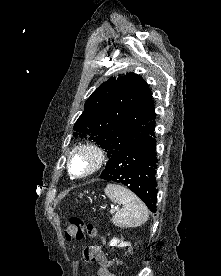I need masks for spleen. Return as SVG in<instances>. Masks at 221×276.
I'll return each mask as SVG.
<instances>
[{
    "mask_svg": "<svg viewBox=\"0 0 221 276\" xmlns=\"http://www.w3.org/2000/svg\"><path fill=\"white\" fill-rule=\"evenodd\" d=\"M104 192L110 200L123 206L111 219L115 226L138 227L148 220L149 211L146 205L129 189L116 184H108Z\"/></svg>",
    "mask_w": 221,
    "mask_h": 276,
    "instance_id": "spleen-1",
    "label": "spleen"
}]
</instances>
